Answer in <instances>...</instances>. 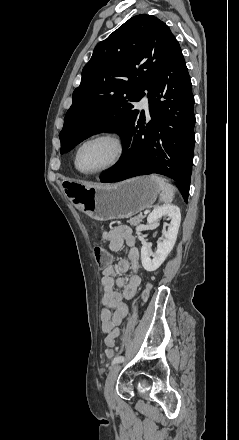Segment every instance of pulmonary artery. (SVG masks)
I'll return each instance as SVG.
<instances>
[{
  "mask_svg": "<svg viewBox=\"0 0 239 440\" xmlns=\"http://www.w3.org/2000/svg\"><path fill=\"white\" fill-rule=\"evenodd\" d=\"M138 108L141 110H144L145 113L148 115L149 113V100L147 96H144L140 102L138 103Z\"/></svg>",
  "mask_w": 239,
  "mask_h": 440,
  "instance_id": "1",
  "label": "pulmonary artery"
}]
</instances>
